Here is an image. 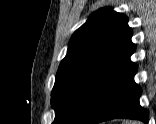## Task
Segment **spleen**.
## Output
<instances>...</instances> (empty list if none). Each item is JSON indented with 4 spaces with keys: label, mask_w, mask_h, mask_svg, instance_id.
Wrapping results in <instances>:
<instances>
[{
    "label": "spleen",
    "mask_w": 156,
    "mask_h": 124,
    "mask_svg": "<svg viewBox=\"0 0 156 124\" xmlns=\"http://www.w3.org/2000/svg\"><path fill=\"white\" fill-rule=\"evenodd\" d=\"M126 123H129V124H140L139 122H126Z\"/></svg>",
    "instance_id": "spleen-1"
}]
</instances>
